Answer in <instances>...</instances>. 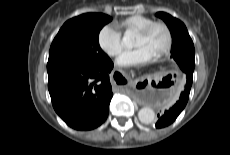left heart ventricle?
Wrapping results in <instances>:
<instances>
[{
    "label": "left heart ventricle",
    "mask_w": 230,
    "mask_h": 155,
    "mask_svg": "<svg viewBox=\"0 0 230 155\" xmlns=\"http://www.w3.org/2000/svg\"><path fill=\"white\" fill-rule=\"evenodd\" d=\"M166 42L167 35L165 30L161 27H156L146 37L137 35L135 38L134 47H146L155 57L163 50Z\"/></svg>",
    "instance_id": "left-heart-ventricle-1"
}]
</instances>
